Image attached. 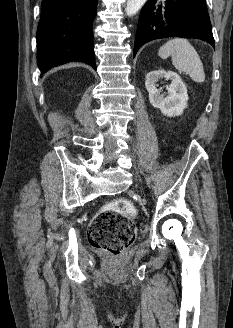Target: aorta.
Instances as JSON below:
<instances>
[{
	"mask_svg": "<svg viewBox=\"0 0 233 328\" xmlns=\"http://www.w3.org/2000/svg\"><path fill=\"white\" fill-rule=\"evenodd\" d=\"M147 0H127L126 13L128 16L136 14Z\"/></svg>",
	"mask_w": 233,
	"mask_h": 328,
	"instance_id": "1",
	"label": "aorta"
}]
</instances>
